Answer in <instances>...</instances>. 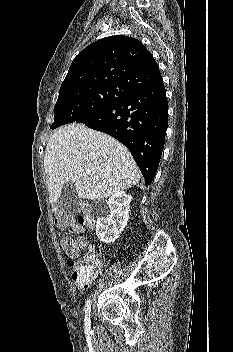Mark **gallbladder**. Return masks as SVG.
Here are the masks:
<instances>
[{"instance_id": "gallbladder-1", "label": "gallbladder", "mask_w": 233, "mask_h": 352, "mask_svg": "<svg viewBox=\"0 0 233 352\" xmlns=\"http://www.w3.org/2000/svg\"><path fill=\"white\" fill-rule=\"evenodd\" d=\"M80 199L77 195L76 187L73 182H67L61 191L59 198V207L68 215H75L79 212Z\"/></svg>"}]
</instances>
